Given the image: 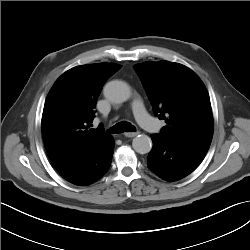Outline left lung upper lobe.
<instances>
[{
    "mask_svg": "<svg viewBox=\"0 0 250 250\" xmlns=\"http://www.w3.org/2000/svg\"><path fill=\"white\" fill-rule=\"evenodd\" d=\"M134 69L155 115L167 123L160 134L171 141L210 145L212 109L200 78L186 66L169 61L144 62Z\"/></svg>",
    "mask_w": 250,
    "mask_h": 250,
    "instance_id": "1",
    "label": "left lung upper lobe"
}]
</instances>
